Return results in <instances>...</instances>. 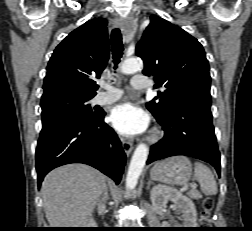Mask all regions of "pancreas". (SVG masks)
I'll return each instance as SVG.
<instances>
[{"label": "pancreas", "mask_w": 252, "mask_h": 231, "mask_svg": "<svg viewBox=\"0 0 252 231\" xmlns=\"http://www.w3.org/2000/svg\"><path fill=\"white\" fill-rule=\"evenodd\" d=\"M189 195H190L191 198H194V199H199V198L202 197L201 194L196 190H191L189 192Z\"/></svg>", "instance_id": "cf45deb5"}]
</instances>
